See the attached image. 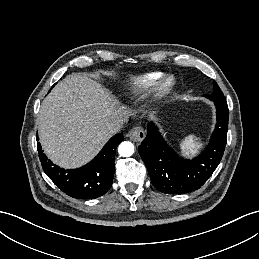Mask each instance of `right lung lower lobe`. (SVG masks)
Returning <instances> with one entry per match:
<instances>
[{
	"label": "right lung lower lobe",
	"instance_id": "obj_1",
	"mask_svg": "<svg viewBox=\"0 0 259 259\" xmlns=\"http://www.w3.org/2000/svg\"><path fill=\"white\" fill-rule=\"evenodd\" d=\"M123 139L122 134L113 136L94 160L78 169L65 170L53 164L39 142L38 154L44 172L59 189L73 198L94 199L104 195L112 185L115 151Z\"/></svg>",
	"mask_w": 259,
	"mask_h": 259
}]
</instances>
